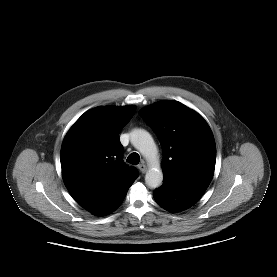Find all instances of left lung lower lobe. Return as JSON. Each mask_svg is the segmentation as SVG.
<instances>
[{
    "instance_id": "0a47b994",
    "label": "left lung lower lobe",
    "mask_w": 277,
    "mask_h": 277,
    "mask_svg": "<svg viewBox=\"0 0 277 277\" xmlns=\"http://www.w3.org/2000/svg\"><path fill=\"white\" fill-rule=\"evenodd\" d=\"M203 194L200 190L180 189L163 184L154 191V199L164 209L179 212L194 205Z\"/></svg>"
}]
</instances>
